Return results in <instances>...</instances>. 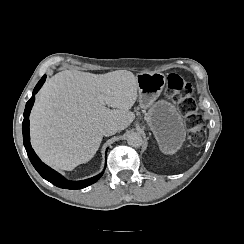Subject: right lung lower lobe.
Returning a JSON list of instances; mask_svg holds the SVG:
<instances>
[{"mask_svg": "<svg viewBox=\"0 0 244 244\" xmlns=\"http://www.w3.org/2000/svg\"><path fill=\"white\" fill-rule=\"evenodd\" d=\"M46 79V76L44 75L37 85L35 86L33 90V96L30 98V100L26 103L25 111H24V120L22 124V131H23V141H24V146L27 151L28 157L34 166V168L38 171V173L47 181L51 182L57 187L60 188H67V189H82L85 188L93 183H95L103 173L86 179L82 181H67L64 179L59 173L45 165L39 157L36 155L34 150L31 147L30 144V135H29V114L31 111V108L34 104L35 101V94L39 91L41 86L44 84Z\"/></svg>", "mask_w": 244, "mask_h": 244, "instance_id": "1", "label": "right lung lower lobe"}]
</instances>
